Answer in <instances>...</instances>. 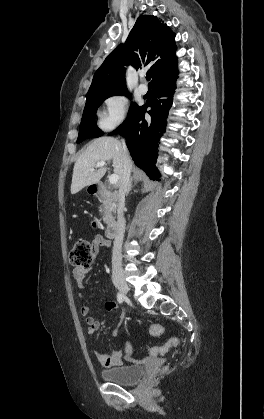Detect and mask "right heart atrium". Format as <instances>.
Segmentation results:
<instances>
[{
	"mask_svg": "<svg viewBox=\"0 0 264 419\" xmlns=\"http://www.w3.org/2000/svg\"><path fill=\"white\" fill-rule=\"evenodd\" d=\"M129 102L122 94L109 96L105 108L99 116V125L104 131H111L121 125L128 114Z\"/></svg>",
	"mask_w": 264,
	"mask_h": 419,
	"instance_id": "d8ad5b80",
	"label": "right heart atrium"
}]
</instances>
